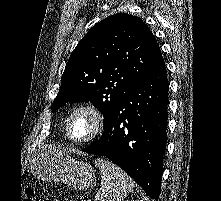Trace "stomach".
<instances>
[{
    "label": "stomach",
    "instance_id": "0dacf381",
    "mask_svg": "<svg viewBox=\"0 0 221 201\" xmlns=\"http://www.w3.org/2000/svg\"><path fill=\"white\" fill-rule=\"evenodd\" d=\"M29 171L42 180L61 181L79 190L91 187L96 180L91 165L54 149L33 155L29 161Z\"/></svg>",
    "mask_w": 221,
    "mask_h": 201
}]
</instances>
